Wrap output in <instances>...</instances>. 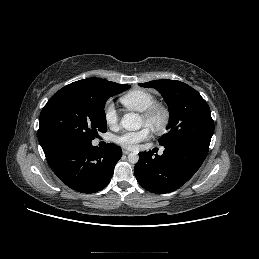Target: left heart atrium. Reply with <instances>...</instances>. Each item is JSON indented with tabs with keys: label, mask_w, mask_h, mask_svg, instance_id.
I'll list each match as a JSON object with an SVG mask.
<instances>
[{
	"label": "left heart atrium",
	"mask_w": 259,
	"mask_h": 259,
	"mask_svg": "<svg viewBox=\"0 0 259 259\" xmlns=\"http://www.w3.org/2000/svg\"><path fill=\"white\" fill-rule=\"evenodd\" d=\"M150 133L146 126L137 131H124L115 137V142L125 149L133 150L140 142L148 139Z\"/></svg>",
	"instance_id": "39dd6f15"
}]
</instances>
